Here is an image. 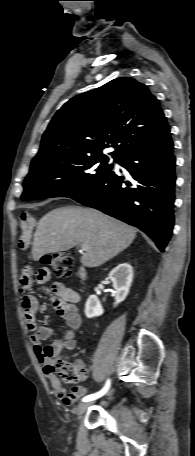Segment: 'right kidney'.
I'll return each instance as SVG.
<instances>
[{"mask_svg": "<svg viewBox=\"0 0 195 456\" xmlns=\"http://www.w3.org/2000/svg\"><path fill=\"white\" fill-rule=\"evenodd\" d=\"M109 278L115 289V303L117 306L124 301L129 293L133 281V268L128 263L119 264L110 273ZM85 315L87 318H93L103 314L104 310L96 295H90L85 304Z\"/></svg>", "mask_w": 195, "mask_h": 456, "instance_id": "1", "label": "right kidney"}]
</instances>
